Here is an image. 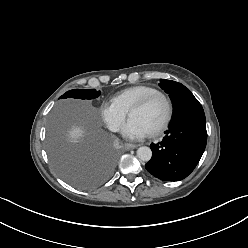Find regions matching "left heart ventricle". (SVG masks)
I'll list each match as a JSON object with an SVG mask.
<instances>
[{"instance_id": "b2bd125f", "label": "left heart ventricle", "mask_w": 248, "mask_h": 248, "mask_svg": "<svg viewBox=\"0 0 248 248\" xmlns=\"http://www.w3.org/2000/svg\"><path fill=\"white\" fill-rule=\"evenodd\" d=\"M164 114V102L161 99H156L146 108L133 111L130 114V119L138 121L149 132L161 122L164 117Z\"/></svg>"}]
</instances>
